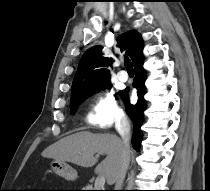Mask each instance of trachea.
Returning a JSON list of instances; mask_svg holds the SVG:
<instances>
[{
    "label": "trachea",
    "mask_w": 210,
    "mask_h": 191,
    "mask_svg": "<svg viewBox=\"0 0 210 191\" xmlns=\"http://www.w3.org/2000/svg\"><path fill=\"white\" fill-rule=\"evenodd\" d=\"M124 64H125V67H126L128 72H133L132 64H131V61L128 57L125 58Z\"/></svg>",
    "instance_id": "3493384b"
}]
</instances>
